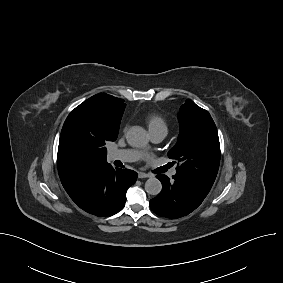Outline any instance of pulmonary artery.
Here are the masks:
<instances>
[{
  "label": "pulmonary artery",
  "mask_w": 283,
  "mask_h": 283,
  "mask_svg": "<svg viewBox=\"0 0 283 283\" xmlns=\"http://www.w3.org/2000/svg\"><path fill=\"white\" fill-rule=\"evenodd\" d=\"M152 140L154 142H161L167 135L166 131L159 130L150 132ZM141 157V153L137 150H114L111 151L108 155L109 160L115 161L120 160L122 162H134L137 161ZM176 174V170H172L170 175L174 176Z\"/></svg>",
  "instance_id": "pulmonary-artery-1"
}]
</instances>
